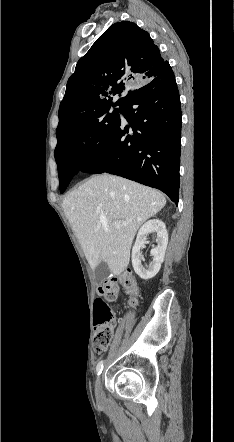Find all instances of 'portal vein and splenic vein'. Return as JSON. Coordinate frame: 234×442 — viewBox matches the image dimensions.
I'll use <instances>...</instances> for the list:
<instances>
[{
    "instance_id": "portal-vein-and-splenic-vein-1",
    "label": "portal vein and splenic vein",
    "mask_w": 234,
    "mask_h": 442,
    "mask_svg": "<svg viewBox=\"0 0 234 442\" xmlns=\"http://www.w3.org/2000/svg\"><path fill=\"white\" fill-rule=\"evenodd\" d=\"M127 224L128 223H123V222H120V221H115L114 222V227L117 228V229H120L122 226L127 225Z\"/></svg>"
}]
</instances>
